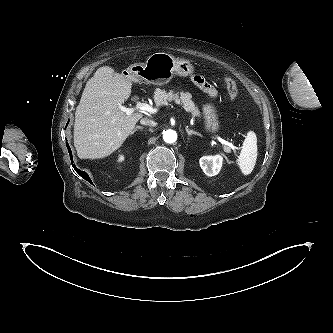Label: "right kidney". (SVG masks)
I'll return each mask as SVG.
<instances>
[{
  "label": "right kidney",
  "mask_w": 333,
  "mask_h": 333,
  "mask_svg": "<svg viewBox=\"0 0 333 333\" xmlns=\"http://www.w3.org/2000/svg\"><path fill=\"white\" fill-rule=\"evenodd\" d=\"M123 160H124V155H119V156H118V161H119V162H122Z\"/></svg>",
  "instance_id": "right-kidney-1"
}]
</instances>
